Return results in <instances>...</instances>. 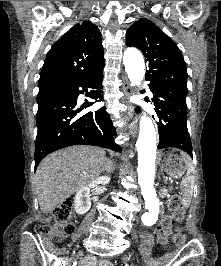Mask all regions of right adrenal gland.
Returning <instances> with one entry per match:
<instances>
[{"mask_svg": "<svg viewBox=\"0 0 221 266\" xmlns=\"http://www.w3.org/2000/svg\"><path fill=\"white\" fill-rule=\"evenodd\" d=\"M107 171V173H110L111 171L114 170V167H112L111 169H105Z\"/></svg>", "mask_w": 221, "mask_h": 266, "instance_id": "obj_1", "label": "right adrenal gland"}]
</instances>
